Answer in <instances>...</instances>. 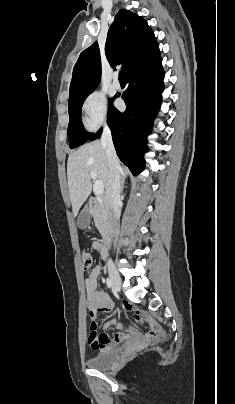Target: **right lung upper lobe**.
<instances>
[{
  "mask_svg": "<svg viewBox=\"0 0 235 404\" xmlns=\"http://www.w3.org/2000/svg\"><path fill=\"white\" fill-rule=\"evenodd\" d=\"M105 53L112 67L122 63L128 75L160 57L159 45L143 17L121 9L107 34ZM101 60L95 42L84 50L74 66L69 102L88 96L99 84Z\"/></svg>",
  "mask_w": 235,
  "mask_h": 404,
  "instance_id": "right-lung-upper-lobe-1",
  "label": "right lung upper lobe"
}]
</instances>
